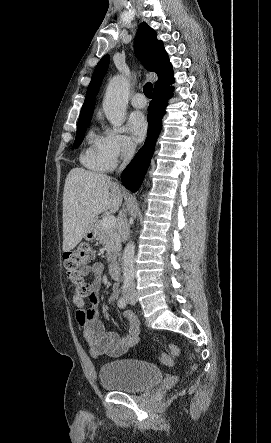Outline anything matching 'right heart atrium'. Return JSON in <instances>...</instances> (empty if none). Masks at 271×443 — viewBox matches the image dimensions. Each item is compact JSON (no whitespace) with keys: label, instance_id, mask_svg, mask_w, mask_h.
<instances>
[{"label":"right heart atrium","instance_id":"1","mask_svg":"<svg viewBox=\"0 0 271 443\" xmlns=\"http://www.w3.org/2000/svg\"><path fill=\"white\" fill-rule=\"evenodd\" d=\"M103 150L108 160L115 164L119 159L132 154L135 146L126 134L107 129L103 136Z\"/></svg>","mask_w":271,"mask_h":443}]
</instances>
